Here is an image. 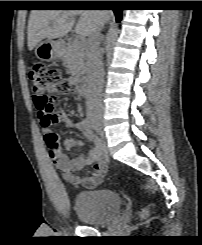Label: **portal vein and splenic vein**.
<instances>
[{
    "mask_svg": "<svg viewBox=\"0 0 202 245\" xmlns=\"http://www.w3.org/2000/svg\"><path fill=\"white\" fill-rule=\"evenodd\" d=\"M84 42H85V40H84V38L82 36H80V34L77 35L76 38H75V40H74V43L76 45L84 44Z\"/></svg>",
    "mask_w": 202,
    "mask_h": 245,
    "instance_id": "obj_1",
    "label": "portal vein and splenic vein"
}]
</instances>
